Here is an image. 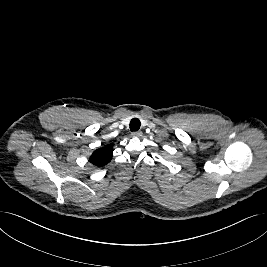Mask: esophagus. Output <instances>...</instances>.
Instances as JSON below:
<instances>
[{
	"label": "esophagus",
	"instance_id": "1",
	"mask_svg": "<svg viewBox=\"0 0 267 267\" xmlns=\"http://www.w3.org/2000/svg\"><path fill=\"white\" fill-rule=\"evenodd\" d=\"M133 137H140V136H142V132H140V131H135V132H132V134H131Z\"/></svg>",
	"mask_w": 267,
	"mask_h": 267
}]
</instances>
